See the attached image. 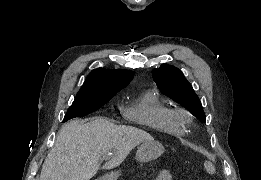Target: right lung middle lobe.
Here are the masks:
<instances>
[{
	"instance_id": "obj_1",
	"label": "right lung middle lobe",
	"mask_w": 261,
	"mask_h": 180,
	"mask_svg": "<svg viewBox=\"0 0 261 180\" xmlns=\"http://www.w3.org/2000/svg\"><path fill=\"white\" fill-rule=\"evenodd\" d=\"M114 95L111 96H91L77 94L74 102L69 107L64 121L74 117L86 116L106 104Z\"/></svg>"
}]
</instances>
